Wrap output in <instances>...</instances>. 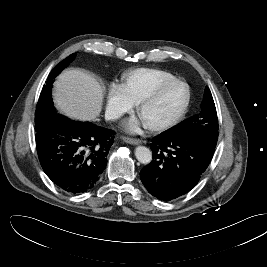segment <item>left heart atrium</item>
<instances>
[{
	"mask_svg": "<svg viewBox=\"0 0 267 267\" xmlns=\"http://www.w3.org/2000/svg\"><path fill=\"white\" fill-rule=\"evenodd\" d=\"M140 125V121L138 120H129L125 123L126 129L129 131H137Z\"/></svg>",
	"mask_w": 267,
	"mask_h": 267,
	"instance_id": "1",
	"label": "left heart atrium"
}]
</instances>
